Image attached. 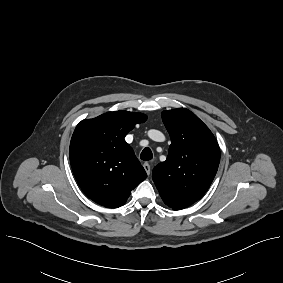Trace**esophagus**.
I'll list each match as a JSON object with an SVG mask.
<instances>
[{
	"label": "esophagus",
	"instance_id": "esophagus-1",
	"mask_svg": "<svg viewBox=\"0 0 283 283\" xmlns=\"http://www.w3.org/2000/svg\"><path fill=\"white\" fill-rule=\"evenodd\" d=\"M143 167H144V169H145L147 175H150V173H151V165H150L148 162H145V163L143 164Z\"/></svg>",
	"mask_w": 283,
	"mask_h": 283
}]
</instances>
